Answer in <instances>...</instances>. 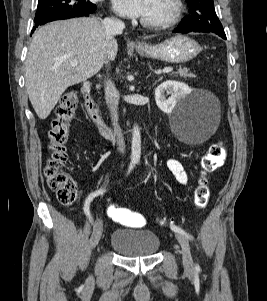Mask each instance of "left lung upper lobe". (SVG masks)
I'll return each instance as SVG.
<instances>
[{
    "mask_svg": "<svg viewBox=\"0 0 267 301\" xmlns=\"http://www.w3.org/2000/svg\"><path fill=\"white\" fill-rule=\"evenodd\" d=\"M186 2L191 15L185 16L180 26L225 34L216 15L213 0H186Z\"/></svg>",
    "mask_w": 267,
    "mask_h": 301,
    "instance_id": "left-lung-upper-lobe-1",
    "label": "left lung upper lobe"
}]
</instances>
